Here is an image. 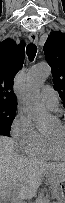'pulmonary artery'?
<instances>
[{
	"mask_svg": "<svg viewBox=\"0 0 65 203\" xmlns=\"http://www.w3.org/2000/svg\"><path fill=\"white\" fill-rule=\"evenodd\" d=\"M41 96H42L46 106L50 110H56L57 105H58V98H57L54 90L51 87H49V86L44 87L41 92Z\"/></svg>",
	"mask_w": 65,
	"mask_h": 203,
	"instance_id": "1",
	"label": "pulmonary artery"
}]
</instances>
